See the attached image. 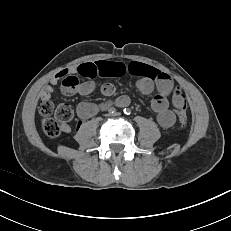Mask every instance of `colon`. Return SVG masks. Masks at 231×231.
I'll return each instance as SVG.
<instances>
[{
    "mask_svg": "<svg viewBox=\"0 0 231 231\" xmlns=\"http://www.w3.org/2000/svg\"><path fill=\"white\" fill-rule=\"evenodd\" d=\"M78 87L79 78L76 74H69L63 78L62 90L65 93H74ZM38 109L42 116V129L50 138H57L61 133V125L71 121L74 116L70 105L63 103L55 106L50 99H41ZM176 111L180 126H185L187 122L186 101L182 94L178 97Z\"/></svg>",
    "mask_w": 231,
    "mask_h": 231,
    "instance_id": "1",
    "label": "colon"
}]
</instances>
